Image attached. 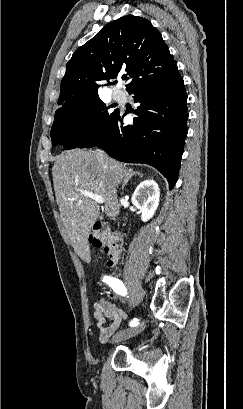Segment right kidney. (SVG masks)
Here are the masks:
<instances>
[{
  "mask_svg": "<svg viewBox=\"0 0 243 409\" xmlns=\"http://www.w3.org/2000/svg\"><path fill=\"white\" fill-rule=\"evenodd\" d=\"M160 190L154 180H144L132 195L133 205L141 211V220H150L159 205Z\"/></svg>",
  "mask_w": 243,
  "mask_h": 409,
  "instance_id": "1",
  "label": "right kidney"
}]
</instances>
